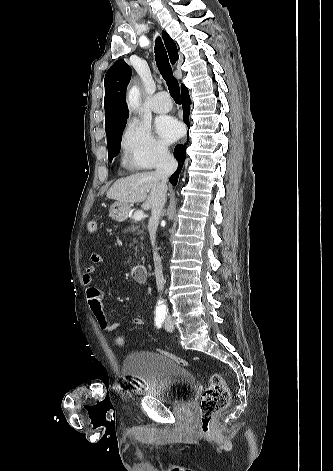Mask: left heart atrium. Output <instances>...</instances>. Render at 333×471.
Here are the masks:
<instances>
[{
	"mask_svg": "<svg viewBox=\"0 0 333 471\" xmlns=\"http://www.w3.org/2000/svg\"><path fill=\"white\" fill-rule=\"evenodd\" d=\"M157 132L165 142L176 140L181 134V125L171 117H164L157 122Z\"/></svg>",
	"mask_w": 333,
	"mask_h": 471,
	"instance_id": "39dd6f15",
	"label": "left heart atrium"
}]
</instances>
